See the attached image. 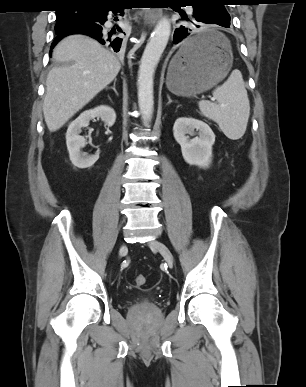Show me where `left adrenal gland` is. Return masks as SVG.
<instances>
[{
  "label": "left adrenal gland",
  "mask_w": 306,
  "mask_h": 387,
  "mask_svg": "<svg viewBox=\"0 0 306 387\" xmlns=\"http://www.w3.org/2000/svg\"><path fill=\"white\" fill-rule=\"evenodd\" d=\"M167 98H168V103H167V104L169 105V104H171L173 101L171 100V98H170L169 95H167Z\"/></svg>",
  "instance_id": "a2214340"
}]
</instances>
